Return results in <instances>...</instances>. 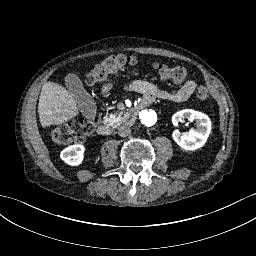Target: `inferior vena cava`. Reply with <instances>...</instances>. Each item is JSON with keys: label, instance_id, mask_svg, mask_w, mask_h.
<instances>
[{"label": "inferior vena cava", "instance_id": "602c4592", "mask_svg": "<svg viewBox=\"0 0 256 256\" xmlns=\"http://www.w3.org/2000/svg\"><path fill=\"white\" fill-rule=\"evenodd\" d=\"M131 132V128L128 126H120L118 128V135L120 137H126Z\"/></svg>", "mask_w": 256, "mask_h": 256}]
</instances>
